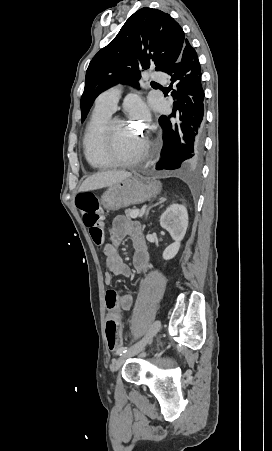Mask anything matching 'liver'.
I'll return each instance as SVG.
<instances>
[{"label": "liver", "instance_id": "obj_1", "mask_svg": "<svg viewBox=\"0 0 272 451\" xmlns=\"http://www.w3.org/2000/svg\"><path fill=\"white\" fill-rule=\"evenodd\" d=\"M132 174L125 172V170H108V172H98L94 176H89L82 182L79 192H86V190H99V188H106L112 186L117 182H122L125 178H130Z\"/></svg>", "mask_w": 272, "mask_h": 451}]
</instances>
